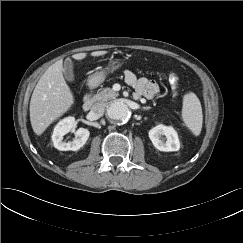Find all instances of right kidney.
<instances>
[{
    "instance_id": "right-kidney-1",
    "label": "right kidney",
    "mask_w": 243,
    "mask_h": 243,
    "mask_svg": "<svg viewBox=\"0 0 243 243\" xmlns=\"http://www.w3.org/2000/svg\"><path fill=\"white\" fill-rule=\"evenodd\" d=\"M75 125V118L74 117H67L61 120L54 128L53 135H52V141L54 144V147L60 151H77L79 150L83 145H85L86 141L89 138L90 132L87 129L79 128L76 130L75 135L77 138H75L71 142H64L63 136L67 133H69Z\"/></svg>"
}]
</instances>
